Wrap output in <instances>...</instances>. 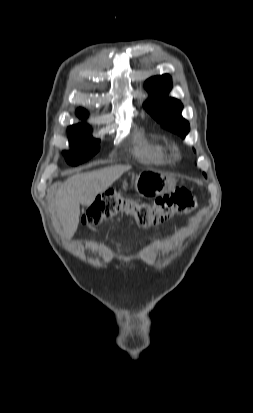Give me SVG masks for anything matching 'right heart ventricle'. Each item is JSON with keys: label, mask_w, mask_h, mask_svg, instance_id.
<instances>
[{"label": "right heart ventricle", "mask_w": 253, "mask_h": 413, "mask_svg": "<svg viewBox=\"0 0 253 413\" xmlns=\"http://www.w3.org/2000/svg\"><path fill=\"white\" fill-rule=\"evenodd\" d=\"M132 153L141 162L161 164L169 160L167 147L140 131L134 136Z\"/></svg>", "instance_id": "right-heart-ventricle-1"}]
</instances>
